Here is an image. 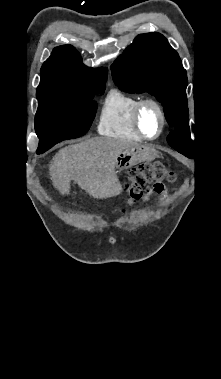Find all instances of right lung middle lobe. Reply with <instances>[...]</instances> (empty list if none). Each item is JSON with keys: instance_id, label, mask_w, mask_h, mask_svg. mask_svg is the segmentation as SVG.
I'll use <instances>...</instances> for the list:
<instances>
[{"instance_id": "obj_1", "label": "right lung middle lobe", "mask_w": 221, "mask_h": 379, "mask_svg": "<svg viewBox=\"0 0 221 379\" xmlns=\"http://www.w3.org/2000/svg\"><path fill=\"white\" fill-rule=\"evenodd\" d=\"M105 86L74 94L37 97L38 110L35 130L38 149H50L54 144L84 135L95 117L97 103L94 94H103Z\"/></svg>"}]
</instances>
